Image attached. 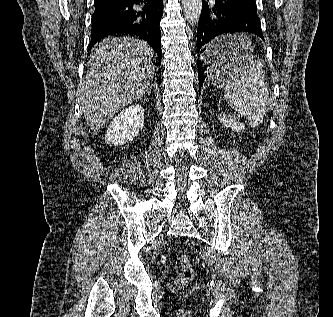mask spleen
<instances>
[{
  "instance_id": "spleen-1",
  "label": "spleen",
  "mask_w": 333,
  "mask_h": 317,
  "mask_svg": "<svg viewBox=\"0 0 333 317\" xmlns=\"http://www.w3.org/2000/svg\"><path fill=\"white\" fill-rule=\"evenodd\" d=\"M233 70L225 85L227 103L244 116L250 126H259L266 115L269 90L260 62L251 54V42L243 34L223 37Z\"/></svg>"
}]
</instances>
